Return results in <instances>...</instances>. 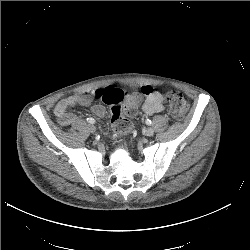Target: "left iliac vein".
<instances>
[{"mask_svg":"<svg viewBox=\"0 0 250 250\" xmlns=\"http://www.w3.org/2000/svg\"><path fill=\"white\" fill-rule=\"evenodd\" d=\"M145 135L150 137L154 135V129L153 128H147L145 131Z\"/></svg>","mask_w":250,"mask_h":250,"instance_id":"4c4485c4","label":"left iliac vein"}]
</instances>
